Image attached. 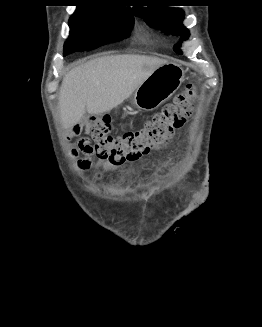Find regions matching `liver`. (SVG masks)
<instances>
[{
	"instance_id": "obj_1",
	"label": "liver",
	"mask_w": 262,
	"mask_h": 327,
	"mask_svg": "<svg viewBox=\"0 0 262 327\" xmlns=\"http://www.w3.org/2000/svg\"><path fill=\"white\" fill-rule=\"evenodd\" d=\"M166 60L145 55H110L92 59L65 75L58 106L65 129L85 113L101 115L117 107Z\"/></svg>"
}]
</instances>
